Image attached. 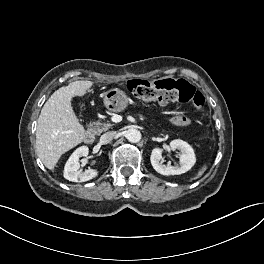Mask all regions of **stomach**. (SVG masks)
I'll list each match as a JSON object with an SVG mask.
<instances>
[{"label":"stomach","instance_id":"0dacf381","mask_svg":"<svg viewBox=\"0 0 264 264\" xmlns=\"http://www.w3.org/2000/svg\"><path fill=\"white\" fill-rule=\"evenodd\" d=\"M104 105L108 110L121 112L129 103V97L119 88H112L103 93Z\"/></svg>","mask_w":264,"mask_h":264}]
</instances>
